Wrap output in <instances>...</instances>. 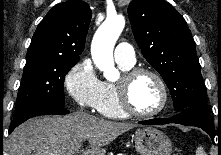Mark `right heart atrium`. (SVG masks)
Masks as SVG:
<instances>
[{
    "label": "right heart atrium",
    "mask_w": 221,
    "mask_h": 155,
    "mask_svg": "<svg viewBox=\"0 0 221 155\" xmlns=\"http://www.w3.org/2000/svg\"><path fill=\"white\" fill-rule=\"evenodd\" d=\"M101 84L92 62L83 59L65 75L64 87L74 102L82 108L96 109L101 96Z\"/></svg>",
    "instance_id": "d8ad5b80"
}]
</instances>
